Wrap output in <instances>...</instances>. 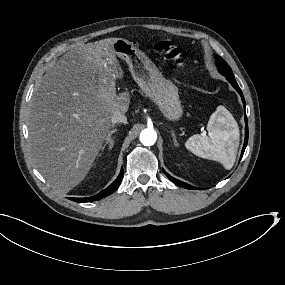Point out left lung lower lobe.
<instances>
[{
	"label": "left lung lower lobe",
	"mask_w": 285,
	"mask_h": 285,
	"mask_svg": "<svg viewBox=\"0 0 285 285\" xmlns=\"http://www.w3.org/2000/svg\"><path fill=\"white\" fill-rule=\"evenodd\" d=\"M228 81L232 84V86H233V87L238 91V93L241 95V98H242V101H243L244 107H245V100H244L242 91H241V89L239 88V86H238V84H237L235 78H234V79H230V80H228ZM245 122H246V126H245V141H244V146H243V150H242V153H241V158H242V156H243V153H244V151H245V148H246L247 142H248V125H247V117H246V115H245ZM163 172L165 173V175H166L172 182H174L175 184H177V185H179V186H181V187H184V188H187V189H200V188L193 187V186H191V185H189V184H187V183H184V182H182V181H180V180H178V179L173 178L172 176H170V175H169L167 172H165L164 170H163Z\"/></svg>",
	"instance_id": "obj_1"
}]
</instances>
